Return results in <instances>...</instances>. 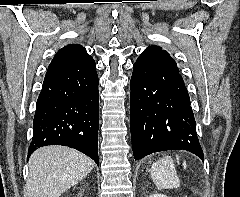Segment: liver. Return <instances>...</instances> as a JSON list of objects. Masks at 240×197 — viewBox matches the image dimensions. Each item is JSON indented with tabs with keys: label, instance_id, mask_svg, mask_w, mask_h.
<instances>
[{
	"label": "liver",
	"instance_id": "obj_1",
	"mask_svg": "<svg viewBox=\"0 0 240 197\" xmlns=\"http://www.w3.org/2000/svg\"><path fill=\"white\" fill-rule=\"evenodd\" d=\"M85 154L65 146H44L29 159L26 197H59L94 168Z\"/></svg>",
	"mask_w": 240,
	"mask_h": 197
}]
</instances>
